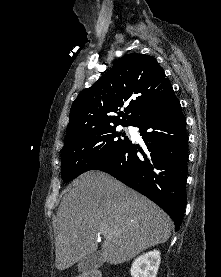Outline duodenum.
<instances>
[{
  "label": "duodenum",
  "mask_w": 221,
  "mask_h": 277,
  "mask_svg": "<svg viewBox=\"0 0 221 277\" xmlns=\"http://www.w3.org/2000/svg\"><path fill=\"white\" fill-rule=\"evenodd\" d=\"M86 277H100V274L99 272L97 271H92V272H89Z\"/></svg>",
  "instance_id": "duodenum-1"
}]
</instances>
